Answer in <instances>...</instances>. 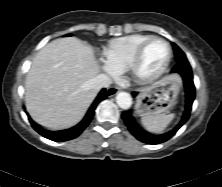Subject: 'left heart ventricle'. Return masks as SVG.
Returning <instances> with one entry per match:
<instances>
[{"label": "left heart ventricle", "mask_w": 222, "mask_h": 187, "mask_svg": "<svg viewBox=\"0 0 222 187\" xmlns=\"http://www.w3.org/2000/svg\"><path fill=\"white\" fill-rule=\"evenodd\" d=\"M168 56V48L162 42L152 43L146 50L141 65L143 74L149 75L155 73L164 64Z\"/></svg>", "instance_id": "b2bd125f"}]
</instances>
